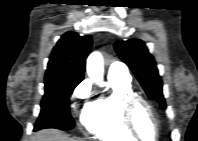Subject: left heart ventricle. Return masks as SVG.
I'll use <instances>...</instances> for the list:
<instances>
[{"label":"left heart ventricle","mask_w":198,"mask_h":141,"mask_svg":"<svg viewBox=\"0 0 198 141\" xmlns=\"http://www.w3.org/2000/svg\"><path fill=\"white\" fill-rule=\"evenodd\" d=\"M135 125L144 140L151 141L156 135V126L148 109L140 105L136 109Z\"/></svg>","instance_id":"obj_1"}]
</instances>
